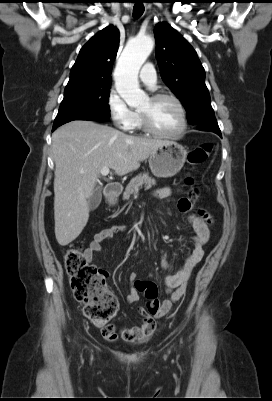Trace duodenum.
Instances as JSON below:
<instances>
[{
    "mask_svg": "<svg viewBox=\"0 0 272 401\" xmlns=\"http://www.w3.org/2000/svg\"><path fill=\"white\" fill-rule=\"evenodd\" d=\"M122 192V186L120 184H109L105 189V195L108 201L113 202Z\"/></svg>",
    "mask_w": 272,
    "mask_h": 401,
    "instance_id": "obj_1",
    "label": "duodenum"
}]
</instances>
